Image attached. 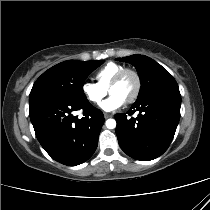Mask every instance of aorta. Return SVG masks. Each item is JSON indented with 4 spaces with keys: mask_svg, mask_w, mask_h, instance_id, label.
<instances>
[{
    "mask_svg": "<svg viewBox=\"0 0 210 210\" xmlns=\"http://www.w3.org/2000/svg\"><path fill=\"white\" fill-rule=\"evenodd\" d=\"M106 127L108 129H114L116 127V121L114 119H108L106 121Z\"/></svg>",
    "mask_w": 210,
    "mask_h": 210,
    "instance_id": "aorta-1",
    "label": "aorta"
}]
</instances>
